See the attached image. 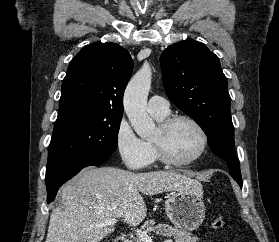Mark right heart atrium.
I'll use <instances>...</instances> for the list:
<instances>
[{
    "instance_id": "1",
    "label": "right heart atrium",
    "mask_w": 279,
    "mask_h": 242,
    "mask_svg": "<svg viewBox=\"0 0 279 242\" xmlns=\"http://www.w3.org/2000/svg\"><path fill=\"white\" fill-rule=\"evenodd\" d=\"M115 146L123 164L130 169H142L152 161L151 151L125 118H121L115 131Z\"/></svg>"
}]
</instances>
